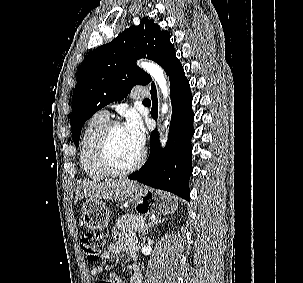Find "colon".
<instances>
[{"instance_id": "obj_1", "label": "colon", "mask_w": 303, "mask_h": 283, "mask_svg": "<svg viewBox=\"0 0 303 283\" xmlns=\"http://www.w3.org/2000/svg\"><path fill=\"white\" fill-rule=\"evenodd\" d=\"M80 246L89 261H97L105 248V238L92 232H85L80 237ZM98 283H116V279L113 276L105 277Z\"/></svg>"}]
</instances>
